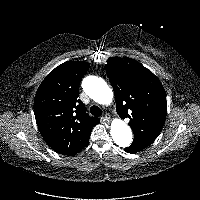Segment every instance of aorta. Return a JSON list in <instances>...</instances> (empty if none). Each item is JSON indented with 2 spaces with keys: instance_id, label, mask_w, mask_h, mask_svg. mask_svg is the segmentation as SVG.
Instances as JSON below:
<instances>
[{
  "instance_id": "762f6f07",
  "label": "aorta",
  "mask_w": 200,
  "mask_h": 200,
  "mask_svg": "<svg viewBox=\"0 0 200 200\" xmlns=\"http://www.w3.org/2000/svg\"><path fill=\"white\" fill-rule=\"evenodd\" d=\"M84 92L101 105L111 103L113 93L108 84L97 76H87L82 81ZM114 142L120 147H128L132 142L131 128L121 119H114L110 128Z\"/></svg>"
}]
</instances>
